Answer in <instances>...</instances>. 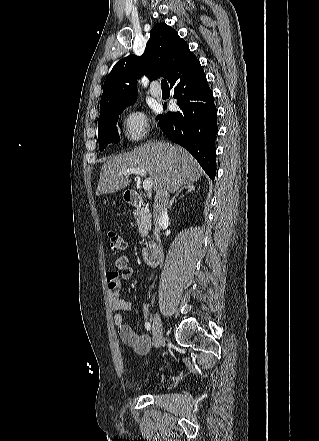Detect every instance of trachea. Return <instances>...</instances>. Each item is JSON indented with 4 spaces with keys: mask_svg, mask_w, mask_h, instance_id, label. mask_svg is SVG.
Segmentation results:
<instances>
[{
    "mask_svg": "<svg viewBox=\"0 0 319 441\" xmlns=\"http://www.w3.org/2000/svg\"><path fill=\"white\" fill-rule=\"evenodd\" d=\"M161 87H162V88H168V87H169V85H168L166 79H163V80L161 81Z\"/></svg>",
    "mask_w": 319,
    "mask_h": 441,
    "instance_id": "trachea-1",
    "label": "trachea"
}]
</instances>
